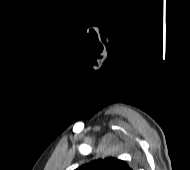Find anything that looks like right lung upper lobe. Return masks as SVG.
Instances as JSON below:
<instances>
[{
  "label": "right lung upper lobe",
  "instance_id": "obj_1",
  "mask_svg": "<svg viewBox=\"0 0 190 170\" xmlns=\"http://www.w3.org/2000/svg\"><path fill=\"white\" fill-rule=\"evenodd\" d=\"M76 170H132L126 162L116 158L94 160L78 167Z\"/></svg>",
  "mask_w": 190,
  "mask_h": 170
}]
</instances>
